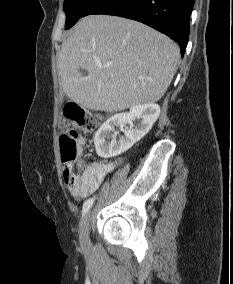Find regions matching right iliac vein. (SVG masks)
Instances as JSON below:
<instances>
[{
    "mask_svg": "<svg viewBox=\"0 0 233 284\" xmlns=\"http://www.w3.org/2000/svg\"><path fill=\"white\" fill-rule=\"evenodd\" d=\"M90 212L87 213L80 223V239L83 246L88 244Z\"/></svg>",
    "mask_w": 233,
    "mask_h": 284,
    "instance_id": "1",
    "label": "right iliac vein"
}]
</instances>
